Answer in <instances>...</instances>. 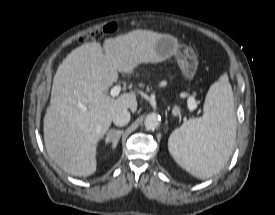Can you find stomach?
Segmentation results:
<instances>
[{
    "label": "stomach",
    "instance_id": "obj_1",
    "mask_svg": "<svg viewBox=\"0 0 275 215\" xmlns=\"http://www.w3.org/2000/svg\"><path fill=\"white\" fill-rule=\"evenodd\" d=\"M155 51L160 61L174 56L183 76L188 80L194 78L198 60L192 48L179 44L177 39L170 35H163L157 40Z\"/></svg>",
    "mask_w": 275,
    "mask_h": 215
}]
</instances>
